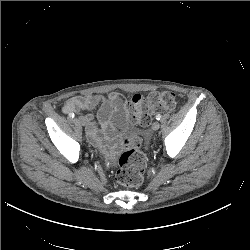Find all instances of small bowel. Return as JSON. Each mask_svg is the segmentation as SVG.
<instances>
[{
	"label": "small bowel",
	"mask_w": 250,
	"mask_h": 250,
	"mask_svg": "<svg viewBox=\"0 0 250 250\" xmlns=\"http://www.w3.org/2000/svg\"><path fill=\"white\" fill-rule=\"evenodd\" d=\"M125 100L119 93L108 96L86 95L74 96L68 99L62 107L65 114L86 111V134L89 140L97 147L105 149L106 138L114 131L111 123L113 113L121 118L124 113ZM97 114L94 115V112Z\"/></svg>",
	"instance_id": "1"
}]
</instances>
